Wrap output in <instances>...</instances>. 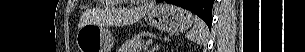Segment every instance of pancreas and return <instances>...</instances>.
Listing matches in <instances>:
<instances>
[{
	"instance_id": "cf45deb5",
	"label": "pancreas",
	"mask_w": 305,
	"mask_h": 52,
	"mask_svg": "<svg viewBox=\"0 0 305 52\" xmlns=\"http://www.w3.org/2000/svg\"><path fill=\"white\" fill-rule=\"evenodd\" d=\"M144 46L145 42L142 41L141 37L134 35L123 43L121 52H140Z\"/></svg>"
}]
</instances>
